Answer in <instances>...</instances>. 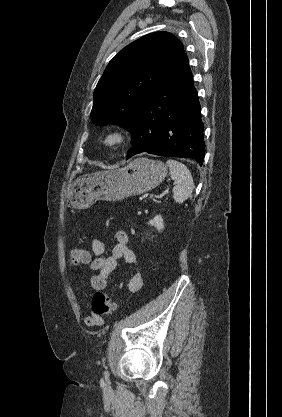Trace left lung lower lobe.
Instances as JSON below:
<instances>
[{
  "label": "left lung lower lobe",
  "instance_id": "obj_1",
  "mask_svg": "<svg viewBox=\"0 0 282 417\" xmlns=\"http://www.w3.org/2000/svg\"><path fill=\"white\" fill-rule=\"evenodd\" d=\"M197 91L186 54L174 63L136 113L126 159L150 154L203 163L205 143Z\"/></svg>",
  "mask_w": 282,
  "mask_h": 417
}]
</instances>
